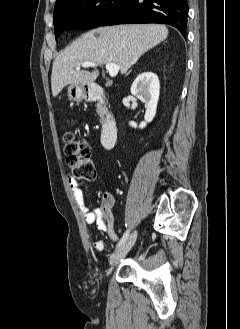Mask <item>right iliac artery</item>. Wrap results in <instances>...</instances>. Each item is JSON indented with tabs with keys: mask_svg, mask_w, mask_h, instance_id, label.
I'll return each instance as SVG.
<instances>
[{
	"mask_svg": "<svg viewBox=\"0 0 240 329\" xmlns=\"http://www.w3.org/2000/svg\"><path fill=\"white\" fill-rule=\"evenodd\" d=\"M129 236V230H127L124 235L122 236L121 240L119 241V243L117 244V248L121 247L127 240Z\"/></svg>",
	"mask_w": 240,
	"mask_h": 329,
	"instance_id": "1",
	"label": "right iliac artery"
}]
</instances>
